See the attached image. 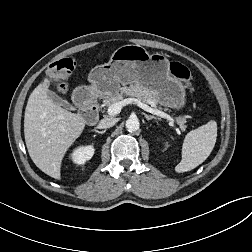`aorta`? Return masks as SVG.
Segmentation results:
<instances>
[{
  "label": "aorta",
  "instance_id": "762f6f07",
  "mask_svg": "<svg viewBox=\"0 0 252 252\" xmlns=\"http://www.w3.org/2000/svg\"><path fill=\"white\" fill-rule=\"evenodd\" d=\"M126 129L128 132H134L137 131L140 127V123L138 118L136 117H130L127 121H126Z\"/></svg>",
  "mask_w": 252,
  "mask_h": 252
}]
</instances>
